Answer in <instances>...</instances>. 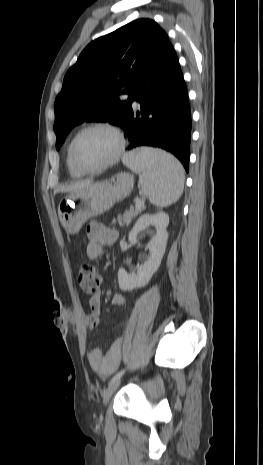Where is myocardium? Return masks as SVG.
I'll return each instance as SVG.
<instances>
[{"label":"myocardium","instance_id":"f54148a6","mask_svg":"<svg viewBox=\"0 0 263 465\" xmlns=\"http://www.w3.org/2000/svg\"><path fill=\"white\" fill-rule=\"evenodd\" d=\"M93 129H105V130L110 131L117 140V149H116L114 156L108 161L104 162L103 164L99 166L88 168V167L82 166L78 162L76 158L75 147L81 135ZM125 147H126V139H125L123 131L117 125L113 123L100 121V122H93V123L85 125L74 135L73 139L70 142L69 154H70V159H71L72 164L79 172L83 174H94V173H99L101 171H104L108 169L109 167L113 166L114 164H116L121 159L122 155L124 154Z\"/></svg>","mask_w":263,"mask_h":465}]
</instances>
